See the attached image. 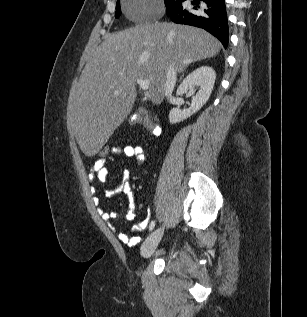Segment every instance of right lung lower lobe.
Instances as JSON below:
<instances>
[{"label": "right lung lower lobe", "instance_id": "98d812e1", "mask_svg": "<svg viewBox=\"0 0 307 317\" xmlns=\"http://www.w3.org/2000/svg\"><path fill=\"white\" fill-rule=\"evenodd\" d=\"M183 1L175 0L166 7L167 16L175 23L205 29L227 48L229 38L225 0H193V7L188 10L183 9Z\"/></svg>", "mask_w": 307, "mask_h": 317}]
</instances>
